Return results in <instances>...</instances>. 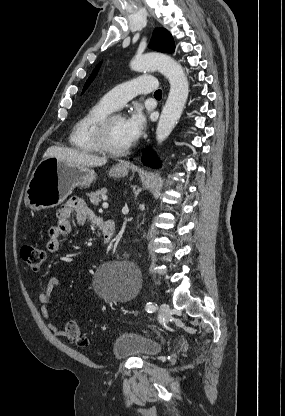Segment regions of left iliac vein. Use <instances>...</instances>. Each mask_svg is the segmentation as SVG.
<instances>
[{
  "mask_svg": "<svg viewBox=\"0 0 285 416\" xmlns=\"http://www.w3.org/2000/svg\"><path fill=\"white\" fill-rule=\"evenodd\" d=\"M160 310H161V313H162V316H163L164 320L168 321V318L171 315L169 305L166 304L165 302H161L160 303Z\"/></svg>",
  "mask_w": 285,
  "mask_h": 416,
  "instance_id": "left-iliac-vein-1",
  "label": "left iliac vein"
}]
</instances>
